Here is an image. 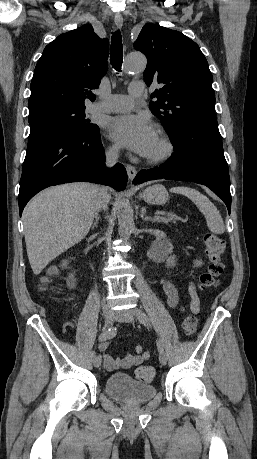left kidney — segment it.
Returning a JSON list of instances; mask_svg holds the SVG:
<instances>
[{
	"mask_svg": "<svg viewBox=\"0 0 257 459\" xmlns=\"http://www.w3.org/2000/svg\"><path fill=\"white\" fill-rule=\"evenodd\" d=\"M167 252H168V253H171V248H168V249H167ZM166 264H167V267L175 266V264H176V257H175V256H169V257H167Z\"/></svg>",
	"mask_w": 257,
	"mask_h": 459,
	"instance_id": "5707ae66",
	"label": "left kidney"
}]
</instances>
